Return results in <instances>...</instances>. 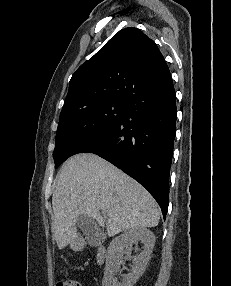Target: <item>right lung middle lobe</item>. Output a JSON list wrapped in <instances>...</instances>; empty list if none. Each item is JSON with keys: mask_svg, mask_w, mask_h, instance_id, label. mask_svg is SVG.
<instances>
[{"mask_svg": "<svg viewBox=\"0 0 231 286\" xmlns=\"http://www.w3.org/2000/svg\"><path fill=\"white\" fill-rule=\"evenodd\" d=\"M124 114L123 101H106L60 117L53 153L55 168L102 135Z\"/></svg>", "mask_w": 231, "mask_h": 286, "instance_id": "obj_1", "label": "right lung middle lobe"}]
</instances>
